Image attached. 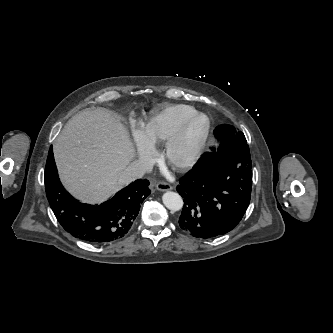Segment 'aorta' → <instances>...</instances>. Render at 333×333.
Wrapping results in <instances>:
<instances>
[{
	"label": "aorta",
	"mask_w": 333,
	"mask_h": 333,
	"mask_svg": "<svg viewBox=\"0 0 333 333\" xmlns=\"http://www.w3.org/2000/svg\"><path fill=\"white\" fill-rule=\"evenodd\" d=\"M164 205L172 211H179L183 207L182 197L175 192L167 191L162 197Z\"/></svg>",
	"instance_id": "1"
}]
</instances>
